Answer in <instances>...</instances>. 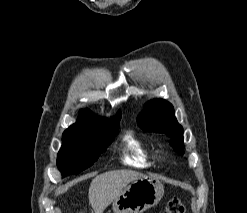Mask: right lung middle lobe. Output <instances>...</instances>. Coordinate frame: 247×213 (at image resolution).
I'll use <instances>...</instances> for the list:
<instances>
[{"label":"right lung middle lobe","instance_id":"1","mask_svg":"<svg viewBox=\"0 0 247 213\" xmlns=\"http://www.w3.org/2000/svg\"><path fill=\"white\" fill-rule=\"evenodd\" d=\"M119 129V123L86 135H63L57 166L63 176L77 174L90 167L107 149Z\"/></svg>","mask_w":247,"mask_h":213}]
</instances>
